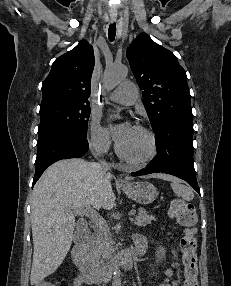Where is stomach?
<instances>
[{"label": "stomach", "instance_id": "0dacf381", "mask_svg": "<svg viewBox=\"0 0 231 286\" xmlns=\"http://www.w3.org/2000/svg\"><path fill=\"white\" fill-rule=\"evenodd\" d=\"M121 188L130 199L143 205L152 203L158 196L156 187L147 181L128 183Z\"/></svg>", "mask_w": 231, "mask_h": 286}]
</instances>
